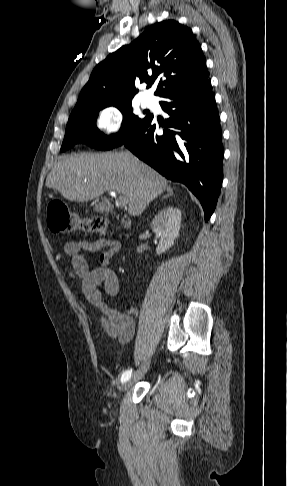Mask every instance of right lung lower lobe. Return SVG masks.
Returning a JSON list of instances; mask_svg holds the SVG:
<instances>
[{"label": "right lung lower lobe", "instance_id": "right-lung-lower-lobe-1", "mask_svg": "<svg viewBox=\"0 0 287 486\" xmlns=\"http://www.w3.org/2000/svg\"><path fill=\"white\" fill-rule=\"evenodd\" d=\"M170 116L163 135L149 115L124 145L167 179L185 184L200 200L207 221L214 212L223 180V145L211 80L162 96ZM119 145V146H121Z\"/></svg>", "mask_w": 287, "mask_h": 486}]
</instances>
